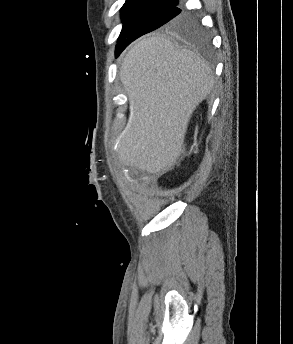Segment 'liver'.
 I'll return each instance as SVG.
<instances>
[{"instance_id": "liver-1", "label": "liver", "mask_w": 293, "mask_h": 344, "mask_svg": "<svg viewBox=\"0 0 293 344\" xmlns=\"http://www.w3.org/2000/svg\"><path fill=\"white\" fill-rule=\"evenodd\" d=\"M120 79L130 103L117 152L120 162L160 173L179 157L193 111L214 87L211 68L163 36L138 41Z\"/></svg>"}]
</instances>
